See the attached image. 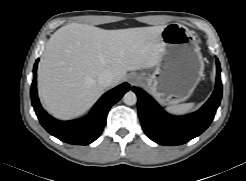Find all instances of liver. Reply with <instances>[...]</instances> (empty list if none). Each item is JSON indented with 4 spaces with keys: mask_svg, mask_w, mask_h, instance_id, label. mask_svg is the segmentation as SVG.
Here are the masks:
<instances>
[{
    "mask_svg": "<svg viewBox=\"0 0 246 181\" xmlns=\"http://www.w3.org/2000/svg\"><path fill=\"white\" fill-rule=\"evenodd\" d=\"M164 26L104 30L71 23L49 39L38 67V93L45 109L68 120L87 112L103 94L97 79L109 70L119 84L127 71L156 66L164 51Z\"/></svg>",
    "mask_w": 246,
    "mask_h": 181,
    "instance_id": "obj_1",
    "label": "liver"
}]
</instances>
